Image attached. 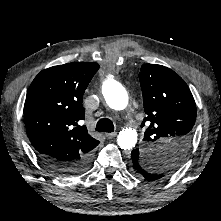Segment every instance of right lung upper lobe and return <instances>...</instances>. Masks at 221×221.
I'll list each match as a JSON object with an SVG mask.
<instances>
[{"mask_svg":"<svg viewBox=\"0 0 221 221\" xmlns=\"http://www.w3.org/2000/svg\"><path fill=\"white\" fill-rule=\"evenodd\" d=\"M99 69L93 62H74L41 71L31 83L24 105L29 140L39 156L75 162L91 156L99 141L88 134L83 94Z\"/></svg>","mask_w":221,"mask_h":221,"instance_id":"right-lung-upper-lobe-1","label":"right lung upper lobe"}]
</instances>
